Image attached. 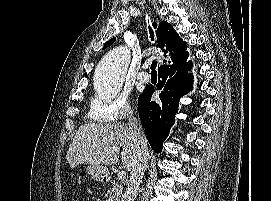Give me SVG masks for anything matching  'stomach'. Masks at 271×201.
Returning <instances> with one entry per match:
<instances>
[{
    "label": "stomach",
    "instance_id": "0dacf381",
    "mask_svg": "<svg viewBox=\"0 0 271 201\" xmlns=\"http://www.w3.org/2000/svg\"><path fill=\"white\" fill-rule=\"evenodd\" d=\"M87 174L94 181H102L105 178L107 170L101 165H89L86 168Z\"/></svg>",
    "mask_w": 271,
    "mask_h": 201
}]
</instances>
